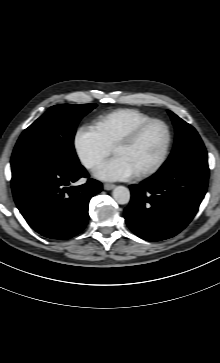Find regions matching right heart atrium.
Returning a JSON list of instances; mask_svg holds the SVG:
<instances>
[{
  "label": "right heart atrium",
  "mask_w": 220,
  "mask_h": 363,
  "mask_svg": "<svg viewBox=\"0 0 220 363\" xmlns=\"http://www.w3.org/2000/svg\"><path fill=\"white\" fill-rule=\"evenodd\" d=\"M73 148L78 160L87 169L95 168L111 152L97 129L90 125H81L75 130Z\"/></svg>",
  "instance_id": "d8ad5b80"
}]
</instances>
